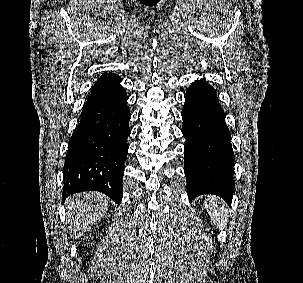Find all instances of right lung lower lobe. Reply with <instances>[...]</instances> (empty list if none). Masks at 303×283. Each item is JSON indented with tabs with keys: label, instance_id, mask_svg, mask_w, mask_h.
Returning <instances> with one entry per match:
<instances>
[{
	"label": "right lung lower lobe",
	"instance_id": "right-lung-lower-lobe-1",
	"mask_svg": "<svg viewBox=\"0 0 303 283\" xmlns=\"http://www.w3.org/2000/svg\"><path fill=\"white\" fill-rule=\"evenodd\" d=\"M121 81L120 76L112 74L95 82L69 139L63 196L99 191L121 202L127 137L131 133L128 96Z\"/></svg>",
	"mask_w": 303,
	"mask_h": 283
}]
</instances>
